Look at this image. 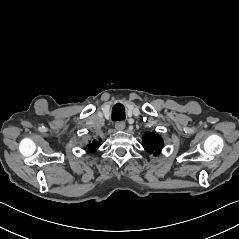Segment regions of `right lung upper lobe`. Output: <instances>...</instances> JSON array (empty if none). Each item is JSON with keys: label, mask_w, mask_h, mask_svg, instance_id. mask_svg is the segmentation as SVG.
<instances>
[{"label": "right lung upper lobe", "mask_w": 239, "mask_h": 239, "mask_svg": "<svg viewBox=\"0 0 239 239\" xmlns=\"http://www.w3.org/2000/svg\"><path fill=\"white\" fill-rule=\"evenodd\" d=\"M100 146V143L96 140H93L92 142H90L86 148L90 151V152H94L95 150L98 149V147Z\"/></svg>", "instance_id": "1"}]
</instances>
